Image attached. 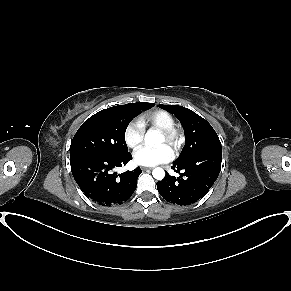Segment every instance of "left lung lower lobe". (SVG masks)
I'll return each mask as SVG.
<instances>
[{"instance_id": "1", "label": "left lung lower lobe", "mask_w": 291, "mask_h": 291, "mask_svg": "<svg viewBox=\"0 0 291 291\" xmlns=\"http://www.w3.org/2000/svg\"><path fill=\"white\" fill-rule=\"evenodd\" d=\"M222 161V150H209L173 162L179 177L167 174L157 182L160 195L168 202L189 205L207 194L216 181Z\"/></svg>"}]
</instances>
